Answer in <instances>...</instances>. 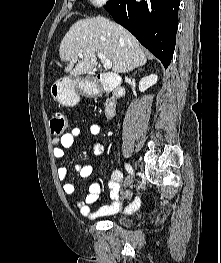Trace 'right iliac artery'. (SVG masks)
<instances>
[{"label": "right iliac artery", "mask_w": 221, "mask_h": 263, "mask_svg": "<svg viewBox=\"0 0 221 263\" xmlns=\"http://www.w3.org/2000/svg\"><path fill=\"white\" fill-rule=\"evenodd\" d=\"M125 169L128 171V173L133 174V169L130 164H125Z\"/></svg>", "instance_id": "right-iliac-artery-1"}]
</instances>
